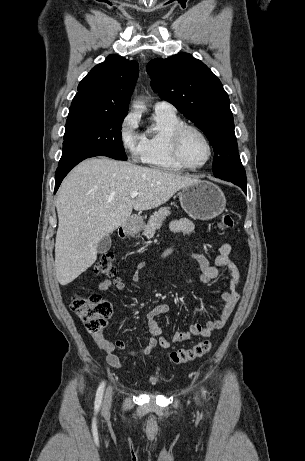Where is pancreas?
Here are the masks:
<instances>
[{"label":"pancreas","mask_w":305,"mask_h":461,"mask_svg":"<svg viewBox=\"0 0 305 461\" xmlns=\"http://www.w3.org/2000/svg\"><path fill=\"white\" fill-rule=\"evenodd\" d=\"M171 214L169 207H162L150 216L148 223L144 226V235L151 237L159 229L167 216Z\"/></svg>","instance_id":"obj_1"}]
</instances>
